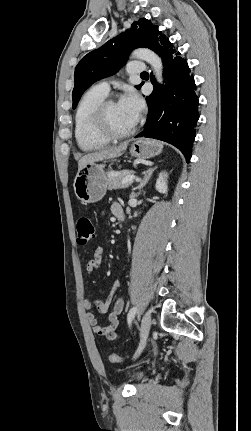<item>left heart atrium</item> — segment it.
<instances>
[{"label":"left heart atrium","instance_id":"1","mask_svg":"<svg viewBox=\"0 0 251 431\" xmlns=\"http://www.w3.org/2000/svg\"><path fill=\"white\" fill-rule=\"evenodd\" d=\"M120 106L126 110L134 121H138L143 110V101L140 96L134 91H127L119 101Z\"/></svg>","mask_w":251,"mask_h":431}]
</instances>
